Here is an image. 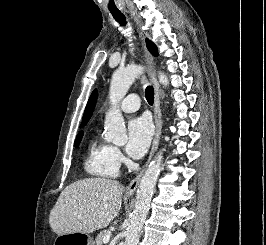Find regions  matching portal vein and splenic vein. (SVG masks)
Segmentation results:
<instances>
[{
	"label": "portal vein and splenic vein",
	"mask_w": 266,
	"mask_h": 245,
	"mask_svg": "<svg viewBox=\"0 0 266 245\" xmlns=\"http://www.w3.org/2000/svg\"><path fill=\"white\" fill-rule=\"evenodd\" d=\"M110 241V235H106V237H103V243H109Z\"/></svg>",
	"instance_id": "18ae733b"
}]
</instances>
